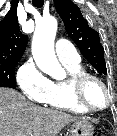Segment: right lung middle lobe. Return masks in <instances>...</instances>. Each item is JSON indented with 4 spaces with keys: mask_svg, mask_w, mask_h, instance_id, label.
Instances as JSON below:
<instances>
[{
    "mask_svg": "<svg viewBox=\"0 0 117 136\" xmlns=\"http://www.w3.org/2000/svg\"><path fill=\"white\" fill-rule=\"evenodd\" d=\"M19 61H0V87L15 89L16 78L14 74L15 66Z\"/></svg>",
    "mask_w": 117,
    "mask_h": 136,
    "instance_id": "1",
    "label": "right lung middle lobe"
}]
</instances>
